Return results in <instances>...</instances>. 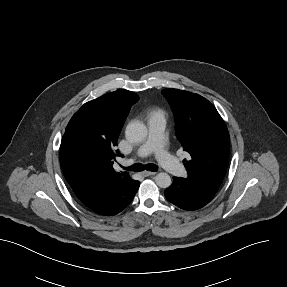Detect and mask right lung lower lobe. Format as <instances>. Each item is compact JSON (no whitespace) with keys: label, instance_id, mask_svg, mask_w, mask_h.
<instances>
[{"label":"right lung lower lobe","instance_id":"98d812e1","mask_svg":"<svg viewBox=\"0 0 287 287\" xmlns=\"http://www.w3.org/2000/svg\"><path fill=\"white\" fill-rule=\"evenodd\" d=\"M139 185V181L129 177L84 188L76 191L75 195L91 211L103 216H113L131 203Z\"/></svg>","mask_w":287,"mask_h":287}]
</instances>
